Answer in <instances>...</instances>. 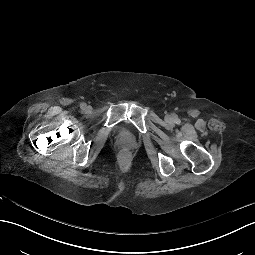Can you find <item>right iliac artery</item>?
Here are the masks:
<instances>
[{"mask_svg":"<svg viewBox=\"0 0 255 255\" xmlns=\"http://www.w3.org/2000/svg\"><path fill=\"white\" fill-rule=\"evenodd\" d=\"M85 107H86V104H85V103H81V104H80V108H81V109H85Z\"/></svg>","mask_w":255,"mask_h":255,"instance_id":"1","label":"right iliac artery"}]
</instances>
